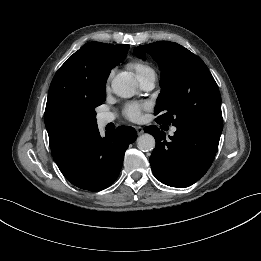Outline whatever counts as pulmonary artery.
<instances>
[{"instance_id": "1", "label": "pulmonary artery", "mask_w": 261, "mask_h": 261, "mask_svg": "<svg viewBox=\"0 0 261 261\" xmlns=\"http://www.w3.org/2000/svg\"><path fill=\"white\" fill-rule=\"evenodd\" d=\"M155 75H149L142 79H140V83L142 87L146 90H150L154 87L155 84ZM115 120V115L113 113H103L98 116V123L101 126H106L107 124L113 122ZM176 128H172L171 133H174Z\"/></svg>"}]
</instances>
